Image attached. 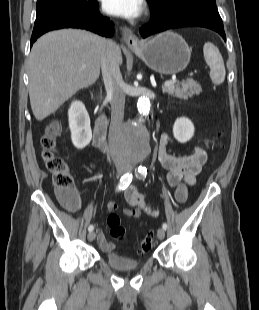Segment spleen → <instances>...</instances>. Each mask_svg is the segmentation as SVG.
Returning a JSON list of instances; mask_svg holds the SVG:
<instances>
[{"instance_id": "obj_1", "label": "spleen", "mask_w": 259, "mask_h": 310, "mask_svg": "<svg viewBox=\"0 0 259 310\" xmlns=\"http://www.w3.org/2000/svg\"><path fill=\"white\" fill-rule=\"evenodd\" d=\"M204 58L210 67V78L214 84H221L225 80V66L219 49L211 42H206L203 47Z\"/></svg>"}]
</instances>
